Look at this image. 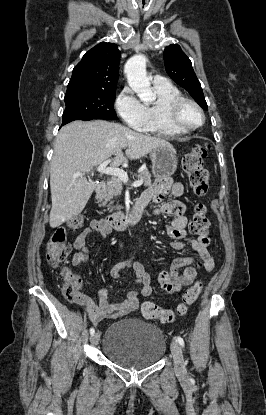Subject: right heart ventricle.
<instances>
[{
  "label": "right heart ventricle",
  "mask_w": 266,
  "mask_h": 415,
  "mask_svg": "<svg viewBox=\"0 0 266 415\" xmlns=\"http://www.w3.org/2000/svg\"><path fill=\"white\" fill-rule=\"evenodd\" d=\"M154 91L157 99L146 106L147 120L142 128L144 131L163 137H172L184 134L185 131L173 127L166 118L165 104L178 96L181 92L169 82L154 84Z\"/></svg>",
  "instance_id": "e07e8e85"
}]
</instances>
